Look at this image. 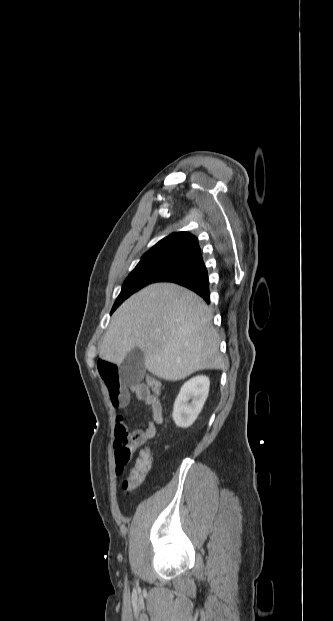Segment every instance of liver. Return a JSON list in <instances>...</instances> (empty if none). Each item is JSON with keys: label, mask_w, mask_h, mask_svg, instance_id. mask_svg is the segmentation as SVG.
Here are the masks:
<instances>
[{"label": "liver", "mask_w": 333, "mask_h": 621, "mask_svg": "<svg viewBox=\"0 0 333 621\" xmlns=\"http://www.w3.org/2000/svg\"><path fill=\"white\" fill-rule=\"evenodd\" d=\"M134 348L143 352L149 372L164 380L224 368L210 309L194 292L176 284H152L113 314L100 358L120 365Z\"/></svg>", "instance_id": "1"}]
</instances>
